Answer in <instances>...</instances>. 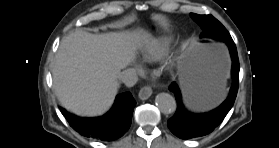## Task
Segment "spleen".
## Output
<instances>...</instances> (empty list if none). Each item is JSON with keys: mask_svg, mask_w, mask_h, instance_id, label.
I'll return each instance as SVG.
<instances>
[{"mask_svg": "<svg viewBox=\"0 0 279 148\" xmlns=\"http://www.w3.org/2000/svg\"><path fill=\"white\" fill-rule=\"evenodd\" d=\"M220 93L224 94V83H223V85L220 86Z\"/></svg>", "mask_w": 279, "mask_h": 148, "instance_id": "1", "label": "spleen"}]
</instances>
